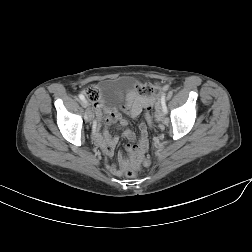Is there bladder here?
Listing matches in <instances>:
<instances>
[{
	"mask_svg": "<svg viewBox=\"0 0 252 252\" xmlns=\"http://www.w3.org/2000/svg\"><path fill=\"white\" fill-rule=\"evenodd\" d=\"M107 91H111V94H106V101H111L113 98V92L115 90H122L127 92L129 90V85L132 83L130 77H120L116 79H109L102 82Z\"/></svg>",
	"mask_w": 252,
	"mask_h": 252,
	"instance_id": "bladder-1",
	"label": "bladder"
}]
</instances>
